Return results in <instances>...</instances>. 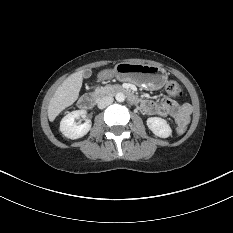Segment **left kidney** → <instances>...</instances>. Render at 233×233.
Wrapping results in <instances>:
<instances>
[{
	"instance_id": "5707ae66",
	"label": "left kidney",
	"mask_w": 233,
	"mask_h": 233,
	"mask_svg": "<svg viewBox=\"0 0 233 233\" xmlns=\"http://www.w3.org/2000/svg\"><path fill=\"white\" fill-rule=\"evenodd\" d=\"M147 126L156 136L161 138H167L172 134V129L167 121L159 117L148 118Z\"/></svg>"
}]
</instances>
